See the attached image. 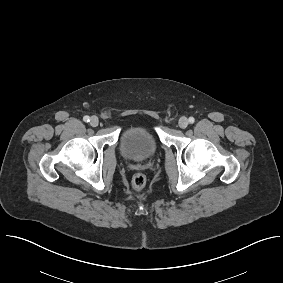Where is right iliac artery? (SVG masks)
I'll use <instances>...</instances> for the list:
<instances>
[{"label":"right iliac artery","instance_id":"obj_1","mask_svg":"<svg viewBox=\"0 0 283 283\" xmlns=\"http://www.w3.org/2000/svg\"><path fill=\"white\" fill-rule=\"evenodd\" d=\"M83 120H84L85 122H89V121H90V117H89V116H84V117H83Z\"/></svg>","mask_w":283,"mask_h":283}]
</instances>
